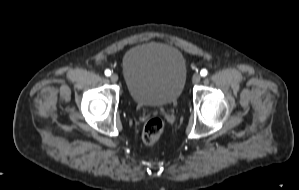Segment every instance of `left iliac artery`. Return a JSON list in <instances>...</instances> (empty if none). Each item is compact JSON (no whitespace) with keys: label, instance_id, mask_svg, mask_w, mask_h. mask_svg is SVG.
Wrapping results in <instances>:
<instances>
[{"label":"left iliac artery","instance_id":"44dca946","mask_svg":"<svg viewBox=\"0 0 299 190\" xmlns=\"http://www.w3.org/2000/svg\"><path fill=\"white\" fill-rule=\"evenodd\" d=\"M207 73H208V72H207L206 69H202L201 72H200V75L204 77V76L207 75Z\"/></svg>","mask_w":299,"mask_h":190}]
</instances>
